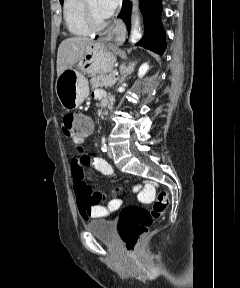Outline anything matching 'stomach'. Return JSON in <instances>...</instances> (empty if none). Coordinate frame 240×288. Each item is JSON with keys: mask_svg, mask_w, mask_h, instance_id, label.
Masks as SVG:
<instances>
[{"mask_svg": "<svg viewBox=\"0 0 240 288\" xmlns=\"http://www.w3.org/2000/svg\"><path fill=\"white\" fill-rule=\"evenodd\" d=\"M116 57L105 41L90 45L74 67L65 70L56 81L57 97L64 109H75L88 97L89 85L85 74L111 73Z\"/></svg>", "mask_w": 240, "mask_h": 288, "instance_id": "1", "label": "stomach"}]
</instances>
